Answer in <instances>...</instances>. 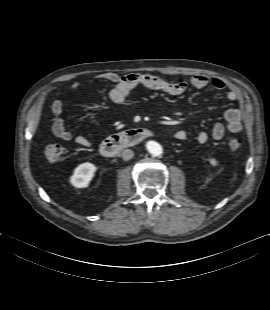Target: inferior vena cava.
<instances>
[{
	"label": "inferior vena cava",
	"instance_id": "1",
	"mask_svg": "<svg viewBox=\"0 0 270 310\" xmlns=\"http://www.w3.org/2000/svg\"><path fill=\"white\" fill-rule=\"evenodd\" d=\"M134 156V153L132 150L130 149H125L122 151V158L125 160V161H128L130 159H132Z\"/></svg>",
	"mask_w": 270,
	"mask_h": 310
}]
</instances>
